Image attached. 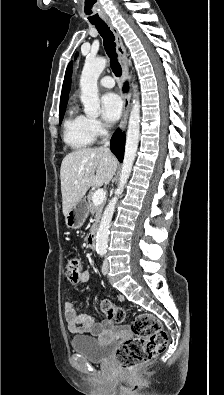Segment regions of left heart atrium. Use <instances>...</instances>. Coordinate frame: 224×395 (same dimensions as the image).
Listing matches in <instances>:
<instances>
[{
    "instance_id": "obj_1",
    "label": "left heart atrium",
    "mask_w": 224,
    "mask_h": 395,
    "mask_svg": "<svg viewBox=\"0 0 224 395\" xmlns=\"http://www.w3.org/2000/svg\"><path fill=\"white\" fill-rule=\"evenodd\" d=\"M103 118L110 123L117 121L122 113L121 98L113 93H106L102 99Z\"/></svg>"
}]
</instances>
